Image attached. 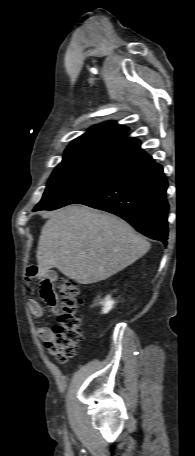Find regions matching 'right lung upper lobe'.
Wrapping results in <instances>:
<instances>
[{"mask_svg": "<svg viewBox=\"0 0 195 456\" xmlns=\"http://www.w3.org/2000/svg\"><path fill=\"white\" fill-rule=\"evenodd\" d=\"M128 128L110 121L73 140L61 163L93 162L125 169L149 155L136 138L125 139Z\"/></svg>", "mask_w": 195, "mask_h": 456, "instance_id": "obj_1", "label": "right lung upper lobe"}]
</instances>
